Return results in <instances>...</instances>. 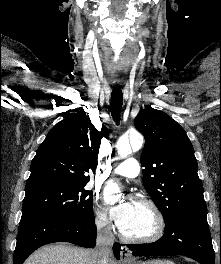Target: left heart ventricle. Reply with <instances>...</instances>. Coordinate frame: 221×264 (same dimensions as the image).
Here are the masks:
<instances>
[{
	"instance_id": "obj_1",
	"label": "left heart ventricle",
	"mask_w": 221,
	"mask_h": 264,
	"mask_svg": "<svg viewBox=\"0 0 221 264\" xmlns=\"http://www.w3.org/2000/svg\"><path fill=\"white\" fill-rule=\"evenodd\" d=\"M155 219L145 205L135 203L134 212L128 223L121 230L132 237H143L153 233Z\"/></svg>"
}]
</instances>
